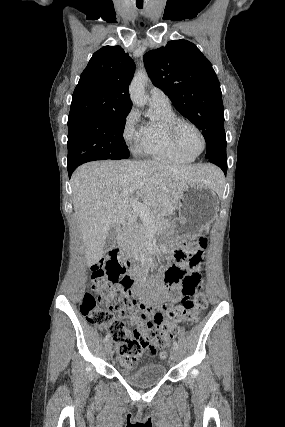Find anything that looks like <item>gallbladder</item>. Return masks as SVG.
Segmentation results:
<instances>
[{"mask_svg":"<svg viewBox=\"0 0 285 427\" xmlns=\"http://www.w3.org/2000/svg\"><path fill=\"white\" fill-rule=\"evenodd\" d=\"M116 245V234L115 231L111 228L108 231L106 240H105V244H104V251H110L112 250Z\"/></svg>","mask_w":285,"mask_h":427,"instance_id":"gallbladder-1","label":"gallbladder"}]
</instances>
